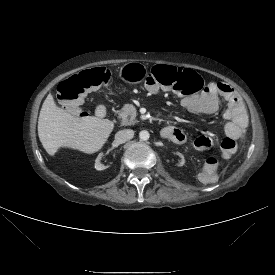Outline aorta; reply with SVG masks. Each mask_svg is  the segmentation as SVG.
<instances>
[{
	"label": "aorta",
	"instance_id": "aorta-1",
	"mask_svg": "<svg viewBox=\"0 0 275 275\" xmlns=\"http://www.w3.org/2000/svg\"><path fill=\"white\" fill-rule=\"evenodd\" d=\"M149 137H150V134H149L148 131H146V130L140 131V133H139V138H140L141 140L146 141V140L149 139Z\"/></svg>",
	"mask_w": 275,
	"mask_h": 275
}]
</instances>
